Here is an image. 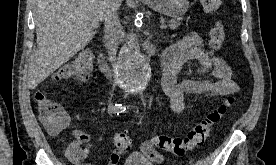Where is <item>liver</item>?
I'll list each match as a JSON object with an SVG mask.
<instances>
[{
  "mask_svg": "<svg viewBox=\"0 0 276 165\" xmlns=\"http://www.w3.org/2000/svg\"><path fill=\"white\" fill-rule=\"evenodd\" d=\"M122 0H36L37 50L29 68L34 89L93 39L111 5ZM97 24V26H94Z\"/></svg>",
  "mask_w": 276,
  "mask_h": 165,
  "instance_id": "6515ba94",
  "label": "liver"
}]
</instances>
